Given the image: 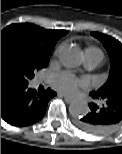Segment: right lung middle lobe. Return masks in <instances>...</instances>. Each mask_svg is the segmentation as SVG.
I'll list each match as a JSON object with an SVG mask.
<instances>
[{"mask_svg": "<svg viewBox=\"0 0 122 154\" xmlns=\"http://www.w3.org/2000/svg\"><path fill=\"white\" fill-rule=\"evenodd\" d=\"M50 52L41 50L16 27L1 31V85H28L34 72L46 67Z\"/></svg>", "mask_w": 122, "mask_h": 154, "instance_id": "right-lung-middle-lobe-1", "label": "right lung middle lobe"}]
</instances>
